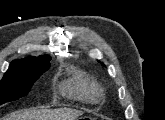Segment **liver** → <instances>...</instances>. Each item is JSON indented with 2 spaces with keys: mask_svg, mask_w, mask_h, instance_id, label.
Here are the masks:
<instances>
[{
  "mask_svg": "<svg viewBox=\"0 0 165 120\" xmlns=\"http://www.w3.org/2000/svg\"><path fill=\"white\" fill-rule=\"evenodd\" d=\"M81 111L74 109H57L46 111H24L13 114L6 120H74L81 115Z\"/></svg>",
  "mask_w": 165,
  "mask_h": 120,
  "instance_id": "liver-1",
  "label": "liver"
}]
</instances>
